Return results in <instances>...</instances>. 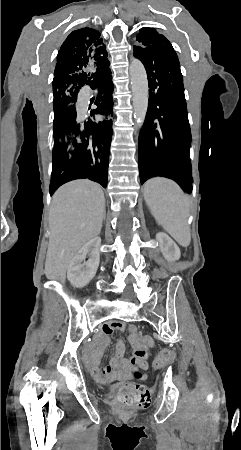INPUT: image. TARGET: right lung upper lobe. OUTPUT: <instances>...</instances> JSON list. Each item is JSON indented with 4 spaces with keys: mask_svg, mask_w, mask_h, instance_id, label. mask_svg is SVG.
<instances>
[{
    "mask_svg": "<svg viewBox=\"0 0 241 450\" xmlns=\"http://www.w3.org/2000/svg\"><path fill=\"white\" fill-rule=\"evenodd\" d=\"M106 46L95 29L84 27L73 31L62 44L53 79V101L63 100L73 92L72 78L87 74L109 63Z\"/></svg>",
    "mask_w": 241,
    "mask_h": 450,
    "instance_id": "obj_1",
    "label": "right lung upper lobe"
}]
</instances>
